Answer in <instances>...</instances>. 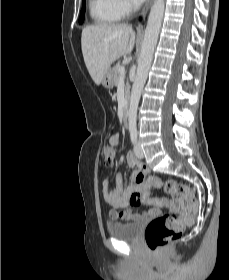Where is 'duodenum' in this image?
<instances>
[{
  "label": "duodenum",
  "instance_id": "obj_1",
  "mask_svg": "<svg viewBox=\"0 0 229 280\" xmlns=\"http://www.w3.org/2000/svg\"><path fill=\"white\" fill-rule=\"evenodd\" d=\"M128 120H129V99L125 97L123 101L122 124L124 126H127Z\"/></svg>",
  "mask_w": 229,
  "mask_h": 280
}]
</instances>
